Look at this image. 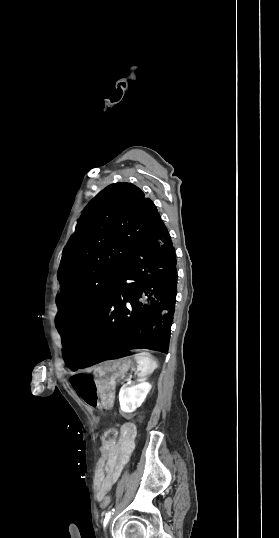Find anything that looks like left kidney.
<instances>
[{
    "instance_id": "left-kidney-1",
    "label": "left kidney",
    "mask_w": 279,
    "mask_h": 538,
    "mask_svg": "<svg viewBox=\"0 0 279 538\" xmlns=\"http://www.w3.org/2000/svg\"><path fill=\"white\" fill-rule=\"evenodd\" d=\"M141 384L130 386L124 384L119 392L120 410L122 412H135L143 404L147 394H149L152 386L144 380H140Z\"/></svg>"
}]
</instances>
